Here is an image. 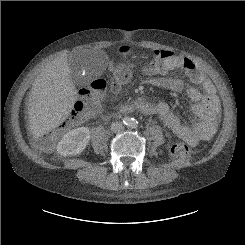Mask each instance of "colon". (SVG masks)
I'll return each instance as SVG.
<instances>
[{
	"mask_svg": "<svg viewBox=\"0 0 245 245\" xmlns=\"http://www.w3.org/2000/svg\"><path fill=\"white\" fill-rule=\"evenodd\" d=\"M131 76L129 66L120 60L114 62L108 79L99 77L90 81L80 90V99L74 104L72 116L57 131L43 135L39 142L41 145L53 143L62 132H66L97 115L101 108V95L108 85L117 86L127 81ZM171 154L176 158H186L193 152L192 147L186 143H175L170 147Z\"/></svg>",
	"mask_w": 245,
	"mask_h": 245,
	"instance_id": "5ec220e1",
	"label": "colon"
}]
</instances>
